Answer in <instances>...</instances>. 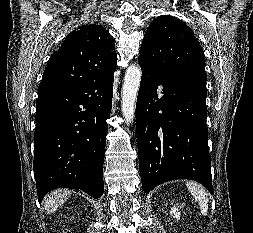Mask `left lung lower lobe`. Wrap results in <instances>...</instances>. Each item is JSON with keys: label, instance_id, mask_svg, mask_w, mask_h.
Instances as JSON below:
<instances>
[{"label": "left lung lower lobe", "instance_id": "obj_1", "mask_svg": "<svg viewBox=\"0 0 253 233\" xmlns=\"http://www.w3.org/2000/svg\"><path fill=\"white\" fill-rule=\"evenodd\" d=\"M136 133L142 188L175 179L200 182L213 194L206 124V85L199 79L172 83L141 57ZM159 86H163L160 89Z\"/></svg>", "mask_w": 253, "mask_h": 233}]
</instances>
